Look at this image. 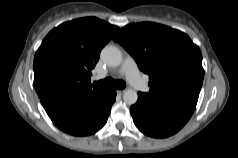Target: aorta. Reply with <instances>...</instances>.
<instances>
[{
	"label": "aorta",
	"instance_id": "1",
	"mask_svg": "<svg viewBox=\"0 0 238 158\" xmlns=\"http://www.w3.org/2000/svg\"><path fill=\"white\" fill-rule=\"evenodd\" d=\"M101 59L111 67H117L122 63L123 56L117 47L107 45L101 51ZM123 100L128 105L135 104L138 100L137 91L131 88L126 89L123 94Z\"/></svg>",
	"mask_w": 238,
	"mask_h": 158
}]
</instances>
